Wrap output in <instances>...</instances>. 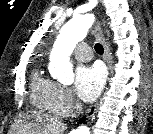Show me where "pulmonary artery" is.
<instances>
[{"label": "pulmonary artery", "instance_id": "obj_1", "mask_svg": "<svg viewBox=\"0 0 153 134\" xmlns=\"http://www.w3.org/2000/svg\"><path fill=\"white\" fill-rule=\"evenodd\" d=\"M74 56L79 61H88L91 58V50L88 44L81 43L74 49Z\"/></svg>", "mask_w": 153, "mask_h": 134}]
</instances>
